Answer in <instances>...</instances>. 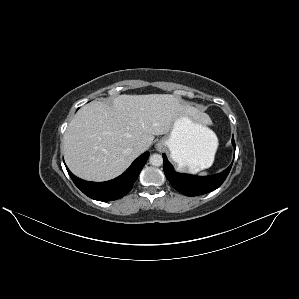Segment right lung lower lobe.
Instances as JSON below:
<instances>
[{"label":"right lung lower lobe","mask_w":299,"mask_h":299,"mask_svg":"<svg viewBox=\"0 0 299 299\" xmlns=\"http://www.w3.org/2000/svg\"><path fill=\"white\" fill-rule=\"evenodd\" d=\"M149 157L146 151L119 177L106 182H89L73 175L66 167L74 184L88 197L98 201H113L125 196L133 187Z\"/></svg>","instance_id":"98d812e1"}]
</instances>
